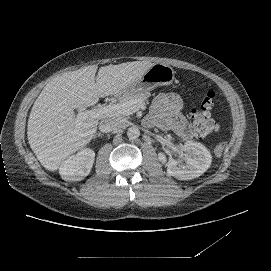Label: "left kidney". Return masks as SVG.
Here are the masks:
<instances>
[{"instance_id": "1", "label": "left kidney", "mask_w": 271, "mask_h": 271, "mask_svg": "<svg viewBox=\"0 0 271 271\" xmlns=\"http://www.w3.org/2000/svg\"><path fill=\"white\" fill-rule=\"evenodd\" d=\"M186 165H180L177 160L167 163V173L179 180H190L201 176L211 165L212 156L207 148L198 142L187 141L183 146ZM160 162L166 163V156L158 154Z\"/></svg>"}]
</instances>
